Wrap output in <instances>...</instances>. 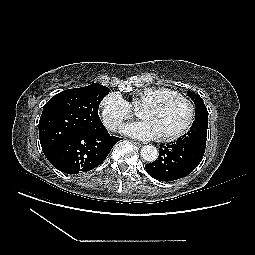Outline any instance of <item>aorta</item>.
Returning <instances> with one entry per match:
<instances>
[{
    "label": "aorta",
    "mask_w": 255,
    "mask_h": 255,
    "mask_svg": "<svg viewBox=\"0 0 255 255\" xmlns=\"http://www.w3.org/2000/svg\"><path fill=\"white\" fill-rule=\"evenodd\" d=\"M140 155L145 161L154 162L158 158V150L153 145H146L142 147Z\"/></svg>",
    "instance_id": "762f6f07"
}]
</instances>
